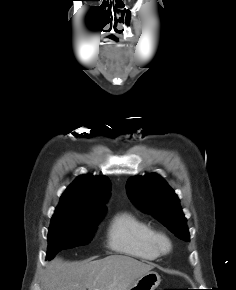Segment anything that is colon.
<instances>
[{
	"label": "colon",
	"instance_id": "1",
	"mask_svg": "<svg viewBox=\"0 0 236 290\" xmlns=\"http://www.w3.org/2000/svg\"><path fill=\"white\" fill-rule=\"evenodd\" d=\"M164 290H177V289H164Z\"/></svg>",
	"mask_w": 236,
	"mask_h": 290
}]
</instances>
